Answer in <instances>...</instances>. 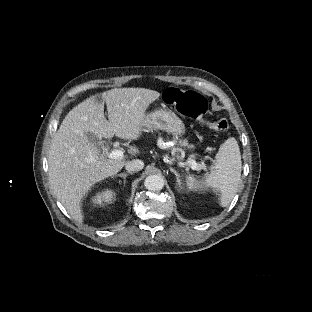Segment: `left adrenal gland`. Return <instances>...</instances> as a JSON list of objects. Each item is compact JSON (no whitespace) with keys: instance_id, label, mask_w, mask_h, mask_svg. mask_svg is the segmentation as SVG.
I'll list each match as a JSON object with an SVG mask.
<instances>
[{"instance_id":"a2214340","label":"left adrenal gland","mask_w":312,"mask_h":312,"mask_svg":"<svg viewBox=\"0 0 312 312\" xmlns=\"http://www.w3.org/2000/svg\"><path fill=\"white\" fill-rule=\"evenodd\" d=\"M169 170L175 175L176 181H177V185H178V187L181 189L179 192L182 193V192H183V189H182L181 182H180V180H179L180 175L178 174L177 171H175V169H173V168H171V167L169 168Z\"/></svg>"}]
</instances>
